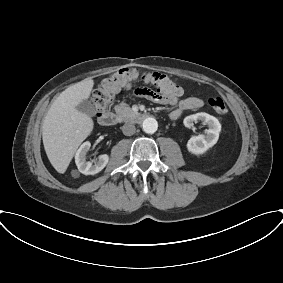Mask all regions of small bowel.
<instances>
[{
    "label": "small bowel",
    "instance_id": "obj_1",
    "mask_svg": "<svg viewBox=\"0 0 283 283\" xmlns=\"http://www.w3.org/2000/svg\"><path fill=\"white\" fill-rule=\"evenodd\" d=\"M174 89H175V93L169 96L166 100L161 101V100H157L154 97H147V98L155 102H164L168 104L178 103L177 108H175L171 112L172 119H177L184 111L195 110L201 107L202 101L199 98L192 96L181 99L180 97L182 94V90L176 83H174Z\"/></svg>",
    "mask_w": 283,
    "mask_h": 283
}]
</instances>
